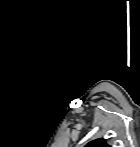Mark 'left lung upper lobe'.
Returning a JSON list of instances; mask_svg holds the SVG:
<instances>
[{
  "label": "left lung upper lobe",
  "mask_w": 140,
  "mask_h": 147,
  "mask_svg": "<svg viewBox=\"0 0 140 147\" xmlns=\"http://www.w3.org/2000/svg\"><path fill=\"white\" fill-rule=\"evenodd\" d=\"M85 147H110L104 139H97L88 143Z\"/></svg>",
  "instance_id": "1"
}]
</instances>
